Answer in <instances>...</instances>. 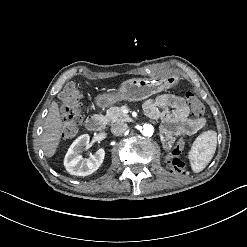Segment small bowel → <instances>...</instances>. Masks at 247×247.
I'll return each mask as SVG.
<instances>
[{
	"label": "small bowel",
	"instance_id": "1",
	"mask_svg": "<svg viewBox=\"0 0 247 247\" xmlns=\"http://www.w3.org/2000/svg\"><path fill=\"white\" fill-rule=\"evenodd\" d=\"M144 109L150 118L161 119L164 122L163 135L166 147H169L175 135L182 133L192 136L204 125L202 117L189 118L188 102L173 94H159L149 99Z\"/></svg>",
	"mask_w": 247,
	"mask_h": 247
}]
</instances>
